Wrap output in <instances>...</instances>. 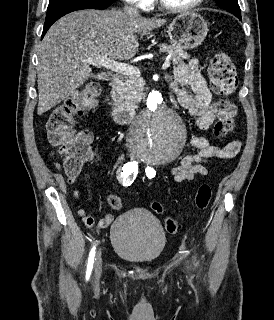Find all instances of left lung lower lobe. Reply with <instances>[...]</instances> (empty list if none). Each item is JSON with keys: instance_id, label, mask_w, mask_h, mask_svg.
I'll return each mask as SVG.
<instances>
[{"instance_id": "left-lung-lower-lobe-1", "label": "left lung lower lobe", "mask_w": 274, "mask_h": 320, "mask_svg": "<svg viewBox=\"0 0 274 320\" xmlns=\"http://www.w3.org/2000/svg\"><path fill=\"white\" fill-rule=\"evenodd\" d=\"M233 14H234L235 16H237V17L241 20V13L233 12Z\"/></svg>"}]
</instances>
